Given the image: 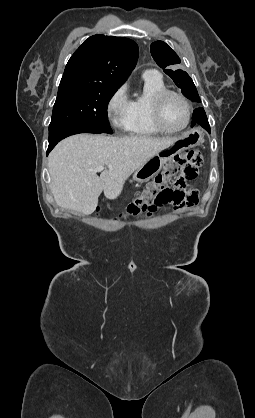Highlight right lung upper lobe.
I'll return each mask as SVG.
<instances>
[{
    "label": "right lung upper lobe",
    "instance_id": "1",
    "mask_svg": "<svg viewBox=\"0 0 255 418\" xmlns=\"http://www.w3.org/2000/svg\"><path fill=\"white\" fill-rule=\"evenodd\" d=\"M137 44L124 37H89L69 59L60 85L85 84L119 88L136 65Z\"/></svg>",
    "mask_w": 255,
    "mask_h": 418
}]
</instances>
